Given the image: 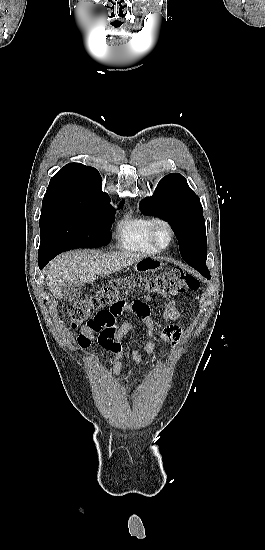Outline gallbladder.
Instances as JSON below:
<instances>
[{
	"label": "gallbladder",
	"mask_w": 265,
	"mask_h": 550,
	"mask_svg": "<svg viewBox=\"0 0 265 550\" xmlns=\"http://www.w3.org/2000/svg\"><path fill=\"white\" fill-rule=\"evenodd\" d=\"M62 297L68 302L78 300L83 294V287L78 283H66L62 287Z\"/></svg>",
	"instance_id": "gallbladder-1"
}]
</instances>
